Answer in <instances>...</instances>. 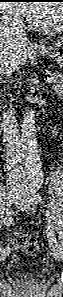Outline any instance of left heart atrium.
<instances>
[{
    "mask_svg": "<svg viewBox=\"0 0 63 297\" xmlns=\"http://www.w3.org/2000/svg\"><path fill=\"white\" fill-rule=\"evenodd\" d=\"M24 11L32 18L38 17L39 11L36 8L31 6H25Z\"/></svg>",
    "mask_w": 63,
    "mask_h": 297,
    "instance_id": "left-heart-atrium-1",
    "label": "left heart atrium"
}]
</instances>
